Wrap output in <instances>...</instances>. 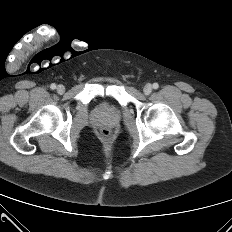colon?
Returning a JSON list of instances; mask_svg holds the SVG:
<instances>
[{
	"mask_svg": "<svg viewBox=\"0 0 232 232\" xmlns=\"http://www.w3.org/2000/svg\"><path fill=\"white\" fill-rule=\"evenodd\" d=\"M102 134H103V136L108 137L110 135V131L107 129H104V130H102Z\"/></svg>",
	"mask_w": 232,
	"mask_h": 232,
	"instance_id": "obj_1",
	"label": "colon"
}]
</instances>
